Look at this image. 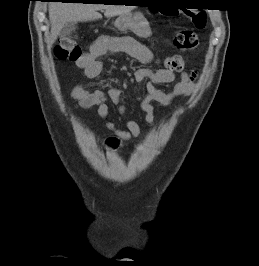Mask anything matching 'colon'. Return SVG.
I'll return each mask as SVG.
<instances>
[{
	"label": "colon",
	"instance_id": "colon-1",
	"mask_svg": "<svg viewBox=\"0 0 259 266\" xmlns=\"http://www.w3.org/2000/svg\"><path fill=\"white\" fill-rule=\"evenodd\" d=\"M186 16L192 21L196 29L205 28V14L188 11ZM172 44L178 50L189 51L198 47L199 38L192 30L183 29L173 35ZM54 52L59 60L78 61L82 56L76 38L71 35L62 37L56 45ZM184 65V59L180 55L168 56L163 60L164 68L171 72L181 71Z\"/></svg>",
	"mask_w": 259,
	"mask_h": 266
}]
</instances>
